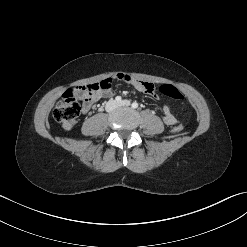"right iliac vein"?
Masks as SVG:
<instances>
[{
	"mask_svg": "<svg viewBox=\"0 0 247 247\" xmlns=\"http://www.w3.org/2000/svg\"><path fill=\"white\" fill-rule=\"evenodd\" d=\"M117 103L113 100L109 101L107 104V110L112 111L116 108Z\"/></svg>",
	"mask_w": 247,
	"mask_h": 247,
	"instance_id": "obj_1",
	"label": "right iliac vein"
}]
</instances>
